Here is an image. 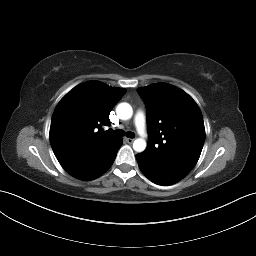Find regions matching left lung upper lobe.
<instances>
[{"mask_svg":"<svg viewBox=\"0 0 256 256\" xmlns=\"http://www.w3.org/2000/svg\"><path fill=\"white\" fill-rule=\"evenodd\" d=\"M147 106L149 161L186 176L197 163L205 140L198 105L184 91L167 83L138 88Z\"/></svg>","mask_w":256,"mask_h":256,"instance_id":"1","label":"left lung upper lobe"}]
</instances>
